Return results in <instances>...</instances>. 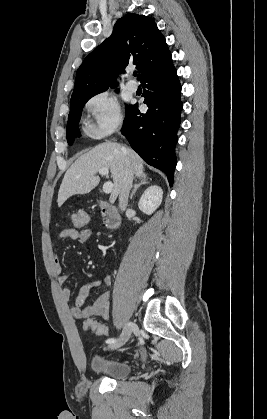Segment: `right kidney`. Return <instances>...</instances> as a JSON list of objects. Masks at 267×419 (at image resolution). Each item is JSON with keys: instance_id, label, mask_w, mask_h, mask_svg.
Returning <instances> with one entry per match:
<instances>
[{"instance_id": "1", "label": "right kidney", "mask_w": 267, "mask_h": 419, "mask_svg": "<svg viewBox=\"0 0 267 419\" xmlns=\"http://www.w3.org/2000/svg\"><path fill=\"white\" fill-rule=\"evenodd\" d=\"M162 198L163 191L161 187L157 185L150 186L142 194L138 207L143 213L151 215L160 206Z\"/></svg>"}]
</instances>
